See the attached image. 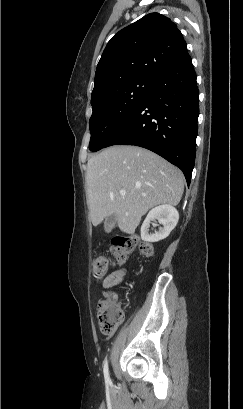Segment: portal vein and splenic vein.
Returning <instances> with one entry per match:
<instances>
[{
    "mask_svg": "<svg viewBox=\"0 0 243 409\" xmlns=\"http://www.w3.org/2000/svg\"><path fill=\"white\" fill-rule=\"evenodd\" d=\"M120 195H121V196H125V195H126V192H125L124 190H121V191H120Z\"/></svg>",
    "mask_w": 243,
    "mask_h": 409,
    "instance_id": "portal-vein-and-splenic-vein-1",
    "label": "portal vein and splenic vein"
}]
</instances>
